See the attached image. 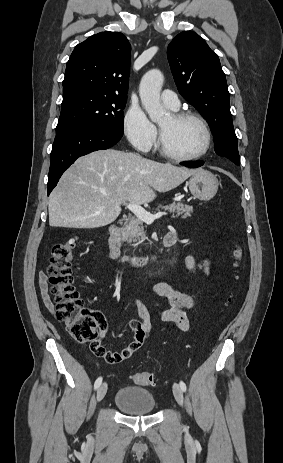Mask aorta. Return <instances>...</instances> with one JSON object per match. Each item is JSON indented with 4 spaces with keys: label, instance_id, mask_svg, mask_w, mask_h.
Here are the masks:
<instances>
[{
    "label": "aorta",
    "instance_id": "aorta-1",
    "mask_svg": "<svg viewBox=\"0 0 283 463\" xmlns=\"http://www.w3.org/2000/svg\"><path fill=\"white\" fill-rule=\"evenodd\" d=\"M163 81L164 76L161 71L152 69L144 74L140 82L141 102L153 122H159L166 116V110L160 101Z\"/></svg>",
    "mask_w": 283,
    "mask_h": 463
}]
</instances>
